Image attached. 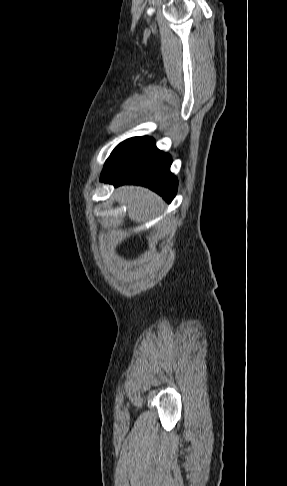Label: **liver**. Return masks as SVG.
<instances>
[{
  "label": "liver",
  "instance_id": "obj_1",
  "mask_svg": "<svg viewBox=\"0 0 287 486\" xmlns=\"http://www.w3.org/2000/svg\"><path fill=\"white\" fill-rule=\"evenodd\" d=\"M117 201L129 205L128 217L141 223L162 212L163 200L154 192L137 186H122L116 192Z\"/></svg>",
  "mask_w": 287,
  "mask_h": 486
}]
</instances>
